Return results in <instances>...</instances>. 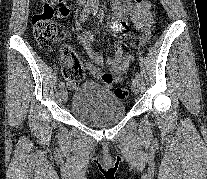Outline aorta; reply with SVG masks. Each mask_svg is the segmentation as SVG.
<instances>
[{
    "label": "aorta",
    "instance_id": "obj_1",
    "mask_svg": "<svg viewBox=\"0 0 207 179\" xmlns=\"http://www.w3.org/2000/svg\"><path fill=\"white\" fill-rule=\"evenodd\" d=\"M87 2H88L90 5H98V4H99V0H87Z\"/></svg>",
    "mask_w": 207,
    "mask_h": 179
}]
</instances>
